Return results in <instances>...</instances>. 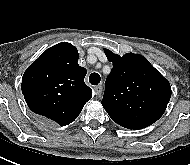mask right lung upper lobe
Masks as SVG:
<instances>
[{
	"mask_svg": "<svg viewBox=\"0 0 190 165\" xmlns=\"http://www.w3.org/2000/svg\"><path fill=\"white\" fill-rule=\"evenodd\" d=\"M77 48L62 42L48 48L25 71L21 89L29 108L65 126L92 97L84 83L87 70L78 65Z\"/></svg>",
	"mask_w": 190,
	"mask_h": 165,
	"instance_id": "1",
	"label": "right lung upper lobe"
}]
</instances>
